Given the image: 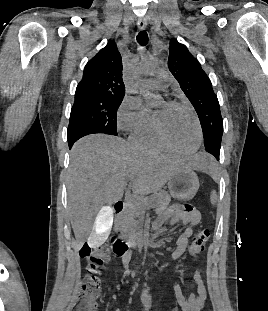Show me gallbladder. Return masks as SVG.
<instances>
[{"label": "gallbladder", "mask_w": 268, "mask_h": 311, "mask_svg": "<svg viewBox=\"0 0 268 311\" xmlns=\"http://www.w3.org/2000/svg\"><path fill=\"white\" fill-rule=\"evenodd\" d=\"M113 203L107 202L102 209H98V215L95 218L96 224L92 227V232H89V246L92 249H97L99 246H104V239H107L108 234H111L113 224Z\"/></svg>", "instance_id": "obj_1"}]
</instances>
